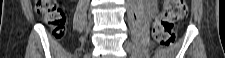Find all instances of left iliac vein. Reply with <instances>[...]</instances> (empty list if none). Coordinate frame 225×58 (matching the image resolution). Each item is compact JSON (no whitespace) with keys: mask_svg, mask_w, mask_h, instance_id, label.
<instances>
[{"mask_svg":"<svg viewBox=\"0 0 225 58\" xmlns=\"http://www.w3.org/2000/svg\"><path fill=\"white\" fill-rule=\"evenodd\" d=\"M124 48L127 50V52L131 55L132 58H141V53L139 52L138 48L131 42H126L124 44Z\"/></svg>","mask_w":225,"mask_h":58,"instance_id":"left-iliac-vein-1","label":"left iliac vein"}]
</instances>
